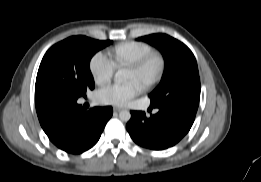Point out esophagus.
Returning <instances> with one entry per match:
<instances>
[{
  "mask_svg": "<svg viewBox=\"0 0 261 182\" xmlns=\"http://www.w3.org/2000/svg\"><path fill=\"white\" fill-rule=\"evenodd\" d=\"M113 110L115 112H119V111L123 110V108H121V107H114Z\"/></svg>",
  "mask_w": 261,
  "mask_h": 182,
  "instance_id": "1",
  "label": "esophagus"
}]
</instances>
